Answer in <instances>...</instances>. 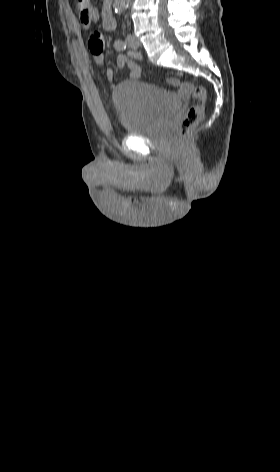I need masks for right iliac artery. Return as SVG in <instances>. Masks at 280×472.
Masks as SVG:
<instances>
[{
	"instance_id": "obj_1",
	"label": "right iliac artery",
	"mask_w": 280,
	"mask_h": 472,
	"mask_svg": "<svg viewBox=\"0 0 280 472\" xmlns=\"http://www.w3.org/2000/svg\"><path fill=\"white\" fill-rule=\"evenodd\" d=\"M128 56H130L131 58L136 59V60H142V55L138 52H135V51H129Z\"/></svg>"
}]
</instances>
